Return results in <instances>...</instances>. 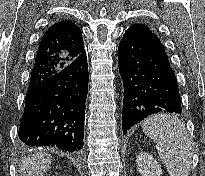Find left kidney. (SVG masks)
I'll return each mask as SVG.
<instances>
[{"mask_svg":"<svg viewBox=\"0 0 205 176\" xmlns=\"http://www.w3.org/2000/svg\"><path fill=\"white\" fill-rule=\"evenodd\" d=\"M138 171L142 176H161L159 163L149 153L141 152L136 159Z\"/></svg>","mask_w":205,"mask_h":176,"instance_id":"obj_1","label":"left kidney"}]
</instances>
